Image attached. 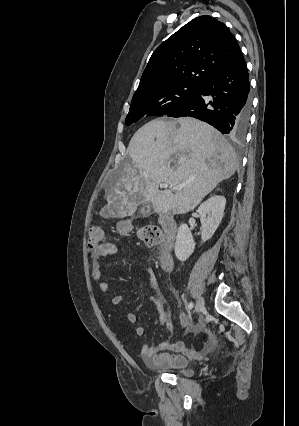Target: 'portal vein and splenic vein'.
<instances>
[{
    "instance_id": "1",
    "label": "portal vein and splenic vein",
    "mask_w": 299,
    "mask_h": 426,
    "mask_svg": "<svg viewBox=\"0 0 299 426\" xmlns=\"http://www.w3.org/2000/svg\"><path fill=\"white\" fill-rule=\"evenodd\" d=\"M162 187L164 188H170L172 190H181L183 187H185V184H172V185H168L167 183H163L161 184Z\"/></svg>"
}]
</instances>
